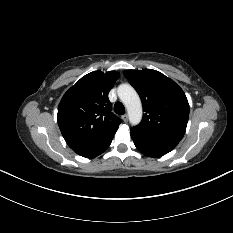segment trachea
Here are the masks:
<instances>
[{"instance_id": "trachea-1", "label": "trachea", "mask_w": 233, "mask_h": 233, "mask_svg": "<svg viewBox=\"0 0 233 233\" xmlns=\"http://www.w3.org/2000/svg\"><path fill=\"white\" fill-rule=\"evenodd\" d=\"M114 111L118 114V115H123L125 113V108L123 106V104L121 102H116L114 105Z\"/></svg>"}]
</instances>
